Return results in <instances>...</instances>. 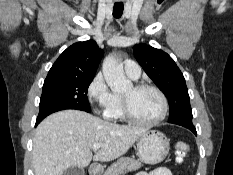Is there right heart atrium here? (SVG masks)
I'll return each instance as SVG.
<instances>
[{
	"mask_svg": "<svg viewBox=\"0 0 233 175\" xmlns=\"http://www.w3.org/2000/svg\"><path fill=\"white\" fill-rule=\"evenodd\" d=\"M87 97L90 103L98 111H105L114 101V94L111 92L102 74H97L87 87Z\"/></svg>",
	"mask_w": 233,
	"mask_h": 175,
	"instance_id": "1",
	"label": "right heart atrium"
}]
</instances>
